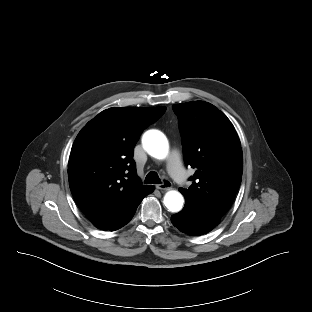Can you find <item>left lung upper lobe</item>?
<instances>
[{
    "mask_svg": "<svg viewBox=\"0 0 312 312\" xmlns=\"http://www.w3.org/2000/svg\"><path fill=\"white\" fill-rule=\"evenodd\" d=\"M179 118L184 159L196 169L192 186L179 188L185 203L221 218L239 189L243 157L240 140L229 119L214 105L188 102L173 105Z\"/></svg>",
    "mask_w": 312,
    "mask_h": 312,
    "instance_id": "left-lung-upper-lobe-1",
    "label": "left lung upper lobe"
}]
</instances>
